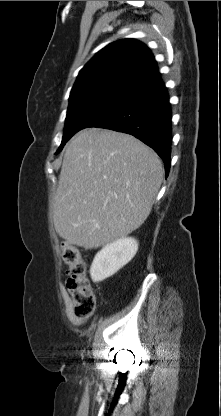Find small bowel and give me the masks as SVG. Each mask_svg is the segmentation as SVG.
<instances>
[{
    "label": "small bowel",
    "instance_id": "obj_1",
    "mask_svg": "<svg viewBox=\"0 0 221 416\" xmlns=\"http://www.w3.org/2000/svg\"><path fill=\"white\" fill-rule=\"evenodd\" d=\"M61 295L65 303L66 314L68 318L70 319V321L75 325L83 324L86 321V318H80L74 315L73 310H72V303H71L70 296L67 290L63 287L61 288Z\"/></svg>",
    "mask_w": 221,
    "mask_h": 416
}]
</instances>
